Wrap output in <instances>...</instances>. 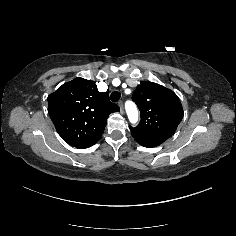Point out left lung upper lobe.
<instances>
[{"label": "left lung upper lobe", "mask_w": 236, "mask_h": 236, "mask_svg": "<svg viewBox=\"0 0 236 236\" xmlns=\"http://www.w3.org/2000/svg\"><path fill=\"white\" fill-rule=\"evenodd\" d=\"M141 121L131 133L142 139L165 141L176 131L183 118V108L178 96L157 83L142 81L133 93Z\"/></svg>", "instance_id": "5c2ea615"}]
</instances>
